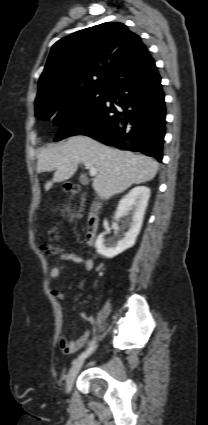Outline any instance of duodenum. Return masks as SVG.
<instances>
[{"label": "duodenum", "instance_id": "duodenum-1", "mask_svg": "<svg viewBox=\"0 0 208 425\" xmlns=\"http://www.w3.org/2000/svg\"><path fill=\"white\" fill-rule=\"evenodd\" d=\"M99 228V215L94 206H92L88 212L86 232H85V243L91 245L94 242L95 236Z\"/></svg>", "mask_w": 208, "mask_h": 425}]
</instances>
